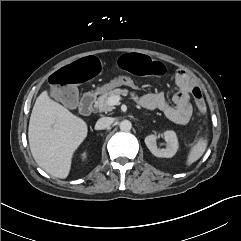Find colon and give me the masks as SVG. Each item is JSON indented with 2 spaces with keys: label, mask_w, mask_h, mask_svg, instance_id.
<instances>
[{
  "label": "colon",
  "mask_w": 241,
  "mask_h": 241,
  "mask_svg": "<svg viewBox=\"0 0 241 241\" xmlns=\"http://www.w3.org/2000/svg\"><path fill=\"white\" fill-rule=\"evenodd\" d=\"M122 71L138 74L154 80L165 76L167 68L163 61L150 58L139 53H124L118 61ZM102 65L94 57L83 60H74L63 69H56L47 77L48 89H52L60 106L66 110L77 108L81 102V95L77 88L84 86L87 80H94L100 76ZM193 96L200 113L206 109L199 90L193 91Z\"/></svg>",
  "instance_id": "colon-1"
}]
</instances>
